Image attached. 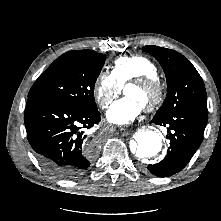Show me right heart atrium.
I'll return each instance as SVG.
<instances>
[{
  "mask_svg": "<svg viewBox=\"0 0 221 221\" xmlns=\"http://www.w3.org/2000/svg\"><path fill=\"white\" fill-rule=\"evenodd\" d=\"M121 89V85L111 73H100L93 88L96 103L99 107L106 108L113 98L121 92Z\"/></svg>",
  "mask_w": 221,
  "mask_h": 221,
  "instance_id": "right-heart-atrium-1",
  "label": "right heart atrium"
}]
</instances>
